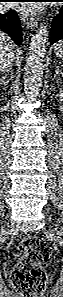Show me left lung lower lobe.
Returning a JSON list of instances; mask_svg holds the SVG:
<instances>
[{"label": "left lung lower lobe", "mask_w": 63, "mask_h": 297, "mask_svg": "<svg viewBox=\"0 0 63 297\" xmlns=\"http://www.w3.org/2000/svg\"><path fill=\"white\" fill-rule=\"evenodd\" d=\"M63 2L62 0H59ZM51 44L63 39V6L51 24Z\"/></svg>", "instance_id": "0a47b994"}]
</instances>
